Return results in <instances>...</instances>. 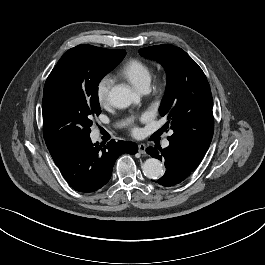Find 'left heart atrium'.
Masks as SVG:
<instances>
[{"label":"left heart atrium","mask_w":265,"mask_h":265,"mask_svg":"<svg viewBox=\"0 0 265 265\" xmlns=\"http://www.w3.org/2000/svg\"><path fill=\"white\" fill-rule=\"evenodd\" d=\"M132 132H133L134 134H137V133L139 132V130H138L137 127H134V128L132 129Z\"/></svg>","instance_id":"obj_1"}]
</instances>
